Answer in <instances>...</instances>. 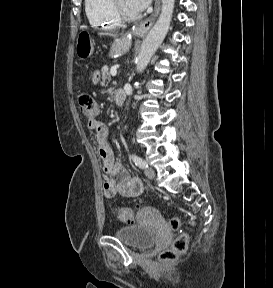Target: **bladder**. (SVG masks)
<instances>
[{
	"label": "bladder",
	"mask_w": 273,
	"mask_h": 288,
	"mask_svg": "<svg viewBox=\"0 0 273 288\" xmlns=\"http://www.w3.org/2000/svg\"><path fill=\"white\" fill-rule=\"evenodd\" d=\"M115 236L128 247L140 250L150 248L157 239L153 231L140 225L121 227L115 232Z\"/></svg>",
	"instance_id": "bladder-1"
}]
</instances>
